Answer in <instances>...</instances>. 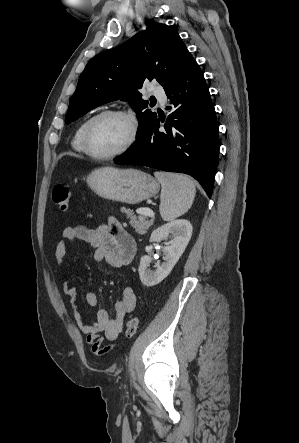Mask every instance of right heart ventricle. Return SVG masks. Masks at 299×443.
I'll list each match as a JSON object with an SVG mask.
<instances>
[{
	"mask_svg": "<svg viewBox=\"0 0 299 443\" xmlns=\"http://www.w3.org/2000/svg\"><path fill=\"white\" fill-rule=\"evenodd\" d=\"M88 120H89V118H86L78 125V127L74 133V136L72 138V147L75 151H77L79 153H85L83 145H82V133H83L84 126Z\"/></svg>",
	"mask_w": 299,
	"mask_h": 443,
	"instance_id": "obj_1",
	"label": "right heart ventricle"
}]
</instances>
